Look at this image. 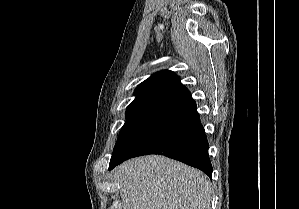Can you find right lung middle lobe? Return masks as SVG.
<instances>
[{
	"mask_svg": "<svg viewBox=\"0 0 299 209\" xmlns=\"http://www.w3.org/2000/svg\"><path fill=\"white\" fill-rule=\"evenodd\" d=\"M157 107L158 105L153 103L135 104L127 107L126 122L119 133L111 159L120 152Z\"/></svg>",
	"mask_w": 299,
	"mask_h": 209,
	"instance_id": "1",
	"label": "right lung middle lobe"
}]
</instances>
